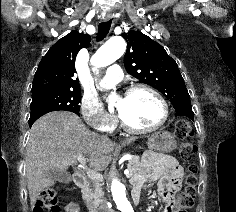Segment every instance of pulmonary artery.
<instances>
[{
    "label": "pulmonary artery",
    "mask_w": 236,
    "mask_h": 212,
    "mask_svg": "<svg viewBox=\"0 0 236 212\" xmlns=\"http://www.w3.org/2000/svg\"><path fill=\"white\" fill-rule=\"evenodd\" d=\"M123 72L119 65H111L107 68L106 76L99 82L102 88H111L122 79Z\"/></svg>",
    "instance_id": "pulmonary-artery-1"
}]
</instances>
